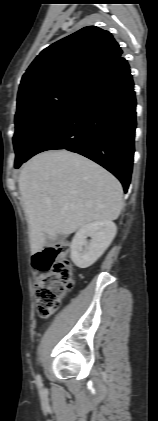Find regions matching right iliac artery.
Masks as SVG:
<instances>
[{"label":"right iliac artery","mask_w":158,"mask_h":421,"mask_svg":"<svg viewBox=\"0 0 158 421\" xmlns=\"http://www.w3.org/2000/svg\"><path fill=\"white\" fill-rule=\"evenodd\" d=\"M36 383H37L39 386H41V377H40V375H37V376H36Z\"/></svg>","instance_id":"right-iliac-artery-1"}]
</instances>
